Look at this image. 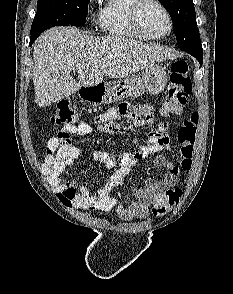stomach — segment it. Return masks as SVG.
<instances>
[{"label":"stomach","instance_id":"0dacf381","mask_svg":"<svg viewBox=\"0 0 233 294\" xmlns=\"http://www.w3.org/2000/svg\"><path fill=\"white\" fill-rule=\"evenodd\" d=\"M168 81L164 67L157 64L145 68L142 77L133 75L121 80L104 83L101 88L85 91L82 96L100 104H111L127 97H139L145 92L151 95L161 93Z\"/></svg>","mask_w":233,"mask_h":294}]
</instances>
